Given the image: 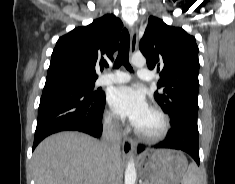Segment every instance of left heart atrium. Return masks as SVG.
<instances>
[{"mask_svg":"<svg viewBox=\"0 0 235 184\" xmlns=\"http://www.w3.org/2000/svg\"><path fill=\"white\" fill-rule=\"evenodd\" d=\"M107 102L115 118H126L135 128L150 110L143 93L130 87L111 89L107 95Z\"/></svg>","mask_w":235,"mask_h":184,"instance_id":"obj_1","label":"left heart atrium"}]
</instances>
